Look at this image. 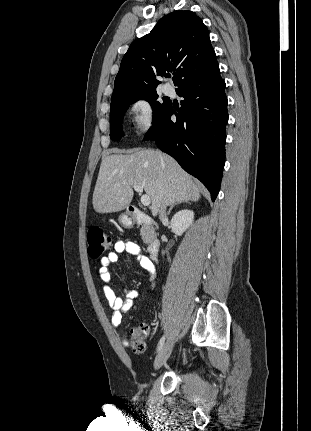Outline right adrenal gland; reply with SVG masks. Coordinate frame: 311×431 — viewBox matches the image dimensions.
<instances>
[{"mask_svg":"<svg viewBox=\"0 0 311 431\" xmlns=\"http://www.w3.org/2000/svg\"><path fill=\"white\" fill-rule=\"evenodd\" d=\"M178 204H190V202H177V204H173V206H171V208H169V212H168L167 216H169V214H171L173 208H175V206H178Z\"/></svg>","mask_w":311,"mask_h":431,"instance_id":"right-adrenal-gland-1","label":"right adrenal gland"}]
</instances>
